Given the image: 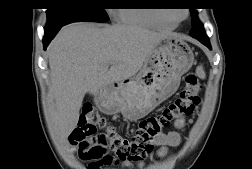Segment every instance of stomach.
<instances>
[{"label":"stomach","instance_id":"0dacf381","mask_svg":"<svg viewBox=\"0 0 252 169\" xmlns=\"http://www.w3.org/2000/svg\"><path fill=\"white\" fill-rule=\"evenodd\" d=\"M193 62L191 47L177 36H167L154 47L137 75L96 94V105L106 114L120 112L131 121L141 119L175 93Z\"/></svg>","mask_w":252,"mask_h":169}]
</instances>
